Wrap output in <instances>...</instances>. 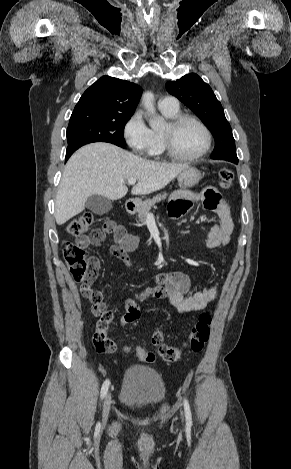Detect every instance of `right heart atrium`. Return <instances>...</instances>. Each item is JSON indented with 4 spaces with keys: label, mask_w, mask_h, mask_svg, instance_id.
I'll return each mask as SVG.
<instances>
[{
    "label": "right heart atrium",
    "mask_w": 291,
    "mask_h": 469,
    "mask_svg": "<svg viewBox=\"0 0 291 469\" xmlns=\"http://www.w3.org/2000/svg\"><path fill=\"white\" fill-rule=\"evenodd\" d=\"M123 138L128 147L136 154L144 155L153 144L152 130L144 121L140 111L132 114L123 127Z\"/></svg>",
    "instance_id": "right-heart-atrium-1"
}]
</instances>
